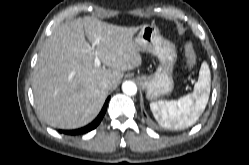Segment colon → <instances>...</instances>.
Listing matches in <instances>:
<instances>
[{
	"mask_svg": "<svg viewBox=\"0 0 249 165\" xmlns=\"http://www.w3.org/2000/svg\"><path fill=\"white\" fill-rule=\"evenodd\" d=\"M185 55L186 62L189 67H193L196 63V54L194 50V46L191 43H187L185 45Z\"/></svg>",
	"mask_w": 249,
	"mask_h": 165,
	"instance_id": "1",
	"label": "colon"
}]
</instances>
